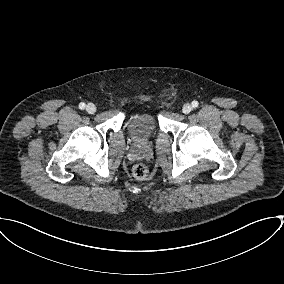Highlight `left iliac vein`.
I'll return each mask as SVG.
<instances>
[{
    "instance_id": "4c4485c4",
    "label": "left iliac vein",
    "mask_w": 284,
    "mask_h": 284,
    "mask_svg": "<svg viewBox=\"0 0 284 284\" xmlns=\"http://www.w3.org/2000/svg\"><path fill=\"white\" fill-rule=\"evenodd\" d=\"M192 106L189 103L184 104L182 111L184 114H189L192 111Z\"/></svg>"
}]
</instances>
